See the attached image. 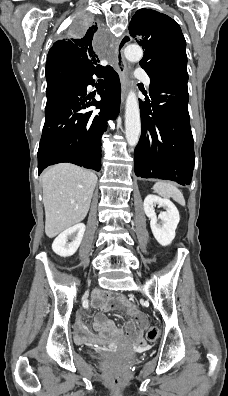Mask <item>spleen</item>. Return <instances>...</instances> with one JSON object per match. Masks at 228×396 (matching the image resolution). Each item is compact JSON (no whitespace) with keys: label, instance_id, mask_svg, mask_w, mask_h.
I'll return each instance as SVG.
<instances>
[{"label":"spleen","instance_id":"3e777b00","mask_svg":"<svg viewBox=\"0 0 228 396\" xmlns=\"http://www.w3.org/2000/svg\"><path fill=\"white\" fill-rule=\"evenodd\" d=\"M154 192L164 198H172L180 205L185 206V200L181 191L173 184L169 182L159 181L153 186Z\"/></svg>","mask_w":228,"mask_h":396}]
</instances>
